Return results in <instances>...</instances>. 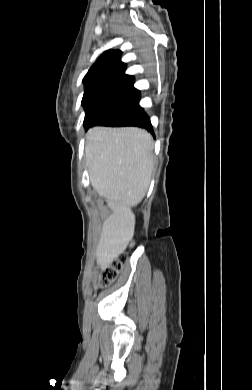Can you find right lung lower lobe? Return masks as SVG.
<instances>
[{"mask_svg": "<svg viewBox=\"0 0 252 390\" xmlns=\"http://www.w3.org/2000/svg\"><path fill=\"white\" fill-rule=\"evenodd\" d=\"M102 125L111 127L136 126L145 128L154 134L149 117L145 114L143 108L140 107L138 103L109 119Z\"/></svg>", "mask_w": 252, "mask_h": 390, "instance_id": "98d812e1", "label": "right lung lower lobe"}]
</instances>
